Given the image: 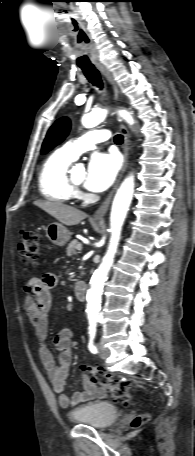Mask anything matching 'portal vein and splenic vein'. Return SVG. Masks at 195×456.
<instances>
[{"mask_svg": "<svg viewBox=\"0 0 195 456\" xmlns=\"http://www.w3.org/2000/svg\"><path fill=\"white\" fill-rule=\"evenodd\" d=\"M77 250H82V245L81 244H78L77 247H76Z\"/></svg>", "mask_w": 195, "mask_h": 456, "instance_id": "obj_1", "label": "portal vein and splenic vein"}]
</instances>
